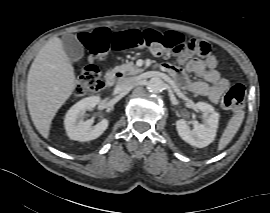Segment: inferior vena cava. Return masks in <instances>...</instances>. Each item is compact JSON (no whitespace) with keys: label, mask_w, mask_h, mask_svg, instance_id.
Wrapping results in <instances>:
<instances>
[{"label":"inferior vena cava","mask_w":270,"mask_h":213,"mask_svg":"<svg viewBox=\"0 0 270 213\" xmlns=\"http://www.w3.org/2000/svg\"><path fill=\"white\" fill-rule=\"evenodd\" d=\"M135 83V80L133 78H122L118 81L116 85V90L118 92L124 91L131 87Z\"/></svg>","instance_id":"obj_1"}]
</instances>
